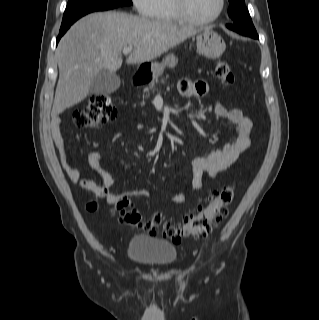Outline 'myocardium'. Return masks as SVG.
Returning a JSON list of instances; mask_svg holds the SVG:
<instances>
[{
	"instance_id": "myocardium-1",
	"label": "myocardium",
	"mask_w": 319,
	"mask_h": 320,
	"mask_svg": "<svg viewBox=\"0 0 319 320\" xmlns=\"http://www.w3.org/2000/svg\"><path fill=\"white\" fill-rule=\"evenodd\" d=\"M172 1H173L174 10L176 14L179 16V18L181 19V21L185 23L193 24V25H206V24L215 22L221 17L225 9V0H219V7L216 14H214L212 17L207 19H197L193 17L188 11L187 0H172Z\"/></svg>"
}]
</instances>
